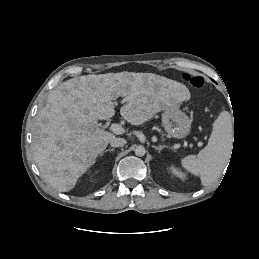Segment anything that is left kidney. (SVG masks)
<instances>
[{"mask_svg":"<svg viewBox=\"0 0 259 259\" xmlns=\"http://www.w3.org/2000/svg\"><path fill=\"white\" fill-rule=\"evenodd\" d=\"M170 171H171L174 175H176V176H178V177H180V178H184V177H185V175H184L181 171H179L175 166H171V167H170Z\"/></svg>","mask_w":259,"mask_h":259,"instance_id":"left-kidney-1","label":"left kidney"}]
</instances>
